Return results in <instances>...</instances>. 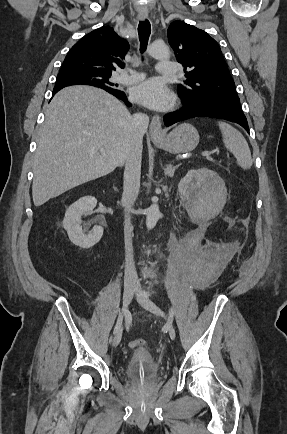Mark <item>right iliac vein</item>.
<instances>
[{"mask_svg":"<svg viewBox=\"0 0 287 434\" xmlns=\"http://www.w3.org/2000/svg\"><path fill=\"white\" fill-rule=\"evenodd\" d=\"M135 292V283L126 282L123 293V313L126 316L128 313L129 304L132 301L133 295ZM122 338V328H119L113 338V346L117 347Z\"/></svg>","mask_w":287,"mask_h":434,"instance_id":"63e3f726","label":"right iliac vein"}]
</instances>
